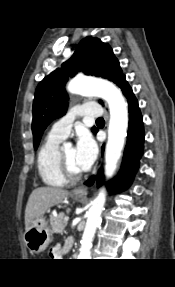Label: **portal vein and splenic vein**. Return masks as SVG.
<instances>
[{"label":"portal vein and splenic vein","mask_w":175,"mask_h":287,"mask_svg":"<svg viewBox=\"0 0 175 287\" xmlns=\"http://www.w3.org/2000/svg\"><path fill=\"white\" fill-rule=\"evenodd\" d=\"M68 221H69V217H68V216H65V217H64V222H65V224H67Z\"/></svg>","instance_id":"18ae733b"}]
</instances>
